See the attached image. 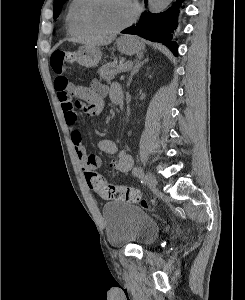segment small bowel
<instances>
[{
    "mask_svg": "<svg viewBox=\"0 0 245 300\" xmlns=\"http://www.w3.org/2000/svg\"><path fill=\"white\" fill-rule=\"evenodd\" d=\"M58 101L64 115V120L69 129L70 139L75 154L82 166L85 177L89 173H97L96 170L101 164L99 156L86 151L83 144L80 127L77 123L78 111L82 109L89 116H99L104 109L105 97L109 96L115 101L117 92H122L118 85L106 87L94 80L89 86L75 85L63 75H58L54 82ZM74 98L76 101H74ZM81 103L78 108L76 103ZM98 149L115 158L109 163V167L121 173L129 172L133 167V158L126 151L110 139H101L98 142Z\"/></svg>",
    "mask_w": 245,
    "mask_h": 300,
    "instance_id": "obj_1",
    "label": "small bowel"
}]
</instances>
